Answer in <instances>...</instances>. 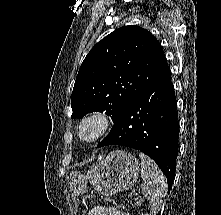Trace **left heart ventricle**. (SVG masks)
Instances as JSON below:
<instances>
[{"label": "left heart ventricle", "mask_w": 221, "mask_h": 215, "mask_svg": "<svg viewBox=\"0 0 221 215\" xmlns=\"http://www.w3.org/2000/svg\"><path fill=\"white\" fill-rule=\"evenodd\" d=\"M92 132V127L91 126H88L85 130V133L86 134H90Z\"/></svg>", "instance_id": "obj_1"}]
</instances>
